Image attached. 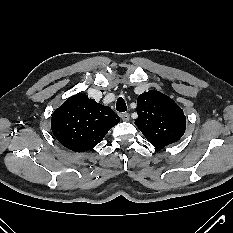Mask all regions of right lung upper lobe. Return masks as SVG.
Listing matches in <instances>:
<instances>
[{"label":"right lung upper lobe","instance_id":"1","mask_svg":"<svg viewBox=\"0 0 233 233\" xmlns=\"http://www.w3.org/2000/svg\"><path fill=\"white\" fill-rule=\"evenodd\" d=\"M119 121L118 115L110 107L78 93L54 111L51 129L64 147L83 152L101 142Z\"/></svg>","mask_w":233,"mask_h":233}]
</instances>
